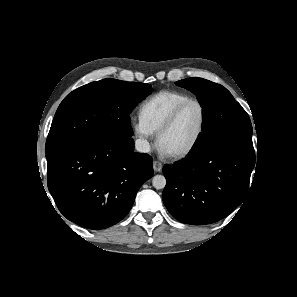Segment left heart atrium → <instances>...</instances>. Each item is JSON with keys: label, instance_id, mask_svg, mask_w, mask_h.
Wrapping results in <instances>:
<instances>
[{"label": "left heart atrium", "instance_id": "1", "mask_svg": "<svg viewBox=\"0 0 297 297\" xmlns=\"http://www.w3.org/2000/svg\"><path fill=\"white\" fill-rule=\"evenodd\" d=\"M161 151H162L163 153L167 154V152H166L164 149H162V148H161Z\"/></svg>", "mask_w": 297, "mask_h": 297}]
</instances>
